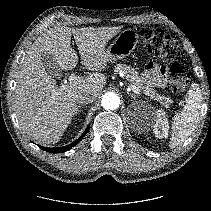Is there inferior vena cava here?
<instances>
[{
  "label": "inferior vena cava",
  "instance_id": "1",
  "mask_svg": "<svg viewBox=\"0 0 211 211\" xmlns=\"http://www.w3.org/2000/svg\"><path fill=\"white\" fill-rule=\"evenodd\" d=\"M95 99L94 93L90 91H84L77 95V102L79 104H89L93 102Z\"/></svg>",
  "mask_w": 211,
  "mask_h": 211
}]
</instances>
